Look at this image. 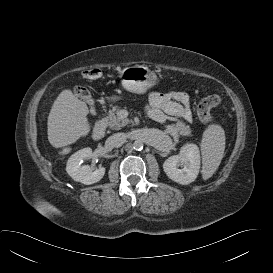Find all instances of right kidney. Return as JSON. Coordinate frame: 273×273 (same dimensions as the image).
I'll return each mask as SVG.
<instances>
[{
    "mask_svg": "<svg viewBox=\"0 0 273 273\" xmlns=\"http://www.w3.org/2000/svg\"><path fill=\"white\" fill-rule=\"evenodd\" d=\"M91 156L92 149L89 147L83 148L70 156L67 161L66 171L73 180L81 182L85 185H90L100 181L103 178L105 174L104 167H99L95 171H92L90 166L81 165L83 160L90 159Z\"/></svg>",
    "mask_w": 273,
    "mask_h": 273,
    "instance_id": "obj_1",
    "label": "right kidney"
}]
</instances>
